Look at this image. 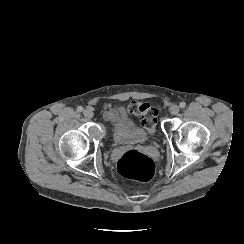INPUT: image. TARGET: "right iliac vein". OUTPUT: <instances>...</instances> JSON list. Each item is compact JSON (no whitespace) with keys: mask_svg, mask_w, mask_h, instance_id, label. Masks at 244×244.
<instances>
[{"mask_svg":"<svg viewBox=\"0 0 244 244\" xmlns=\"http://www.w3.org/2000/svg\"><path fill=\"white\" fill-rule=\"evenodd\" d=\"M83 115H84L86 118L91 119V118L93 117V115H94V112H93L91 109L87 108V109H85V110L83 111Z\"/></svg>","mask_w":244,"mask_h":244,"instance_id":"right-iliac-vein-1","label":"right iliac vein"}]
</instances>
